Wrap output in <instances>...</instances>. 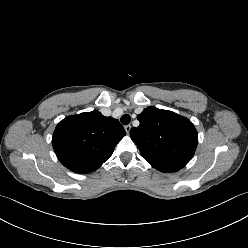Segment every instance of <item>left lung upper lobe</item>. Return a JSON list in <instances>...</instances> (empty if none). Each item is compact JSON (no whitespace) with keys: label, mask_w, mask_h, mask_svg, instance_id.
I'll return each instance as SVG.
<instances>
[{"label":"left lung upper lobe","mask_w":248,"mask_h":248,"mask_svg":"<svg viewBox=\"0 0 248 248\" xmlns=\"http://www.w3.org/2000/svg\"><path fill=\"white\" fill-rule=\"evenodd\" d=\"M138 127L130 137L142 157L162 172H175L193 157L198 134L193 123L172 111L148 107L137 116Z\"/></svg>","instance_id":"5c2ea615"}]
</instances>
